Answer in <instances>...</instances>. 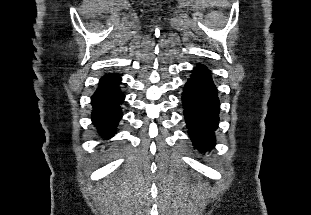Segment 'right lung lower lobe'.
Returning a JSON list of instances; mask_svg holds the SVG:
<instances>
[{"instance_id": "98d812e1", "label": "right lung lower lobe", "mask_w": 311, "mask_h": 215, "mask_svg": "<svg viewBox=\"0 0 311 215\" xmlns=\"http://www.w3.org/2000/svg\"><path fill=\"white\" fill-rule=\"evenodd\" d=\"M121 77L118 74L109 73L103 76L98 84L92 99V121L103 138H111L122 118L120 105L125 95L120 91Z\"/></svg>"}]
</instances>
